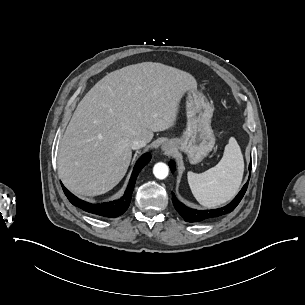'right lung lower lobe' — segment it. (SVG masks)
I'll use <instances>...</instances> for the list:
<instances>
[{"mask_svg":"<svg viewBox=\"0 0 305 305\" xmlns=\"http://www.w3.org/2000/svg\"><path fill=\"white\" fill-rule=\"evenodd\" d=\"M150 159H151L150 153H146L137 161L136 165L134 166V170H133L128 188L126 189L124 196L118 200H114V201L107 202V203H101V204H90V203L84 202V201L80 200L79 198H77L76 196H74L71 192H69L62 185L64 193L73 205H75L87 212L97 214L100 216H105V217L120 216L129 207L130 199H131V195L133 192L136 178H137L139 172L141 171V169L146 164H148Z\"/></svg>","mask_w":305,"mask_h":305,"instance_id":"98d812e1","label":"right lung lower lobe"}]
</instances>
